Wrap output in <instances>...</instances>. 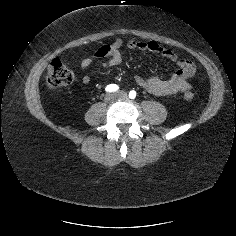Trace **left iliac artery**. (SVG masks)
<instances>
[{"label":"left iliac artery","mask_w":236,"mask_h":236,"mask_svg":"<svg viewBox=\"0 0 236 236\" xmlns=\"http://www.w3.org/2000/svg\"><path fill=\"white\" fill-rule=\"evenodd\" d=\"M129 98L130 99H135L136 98V91L132 90L129 92Z\"/></svg>","instance_id":"obj_1"}]
</instances>
